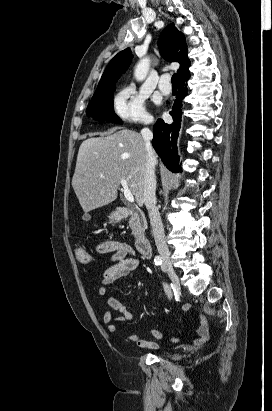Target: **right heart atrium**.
<instances>
[{
    "instance_id": "d8ad5b80",
    "label": "right heart atrium",
    "mask_w": 272,
    "mask_h": 411,
    "mask_svg": "<svg viewBox=\"0 0 272 411\" xmlns=\"http://www.w3.org/2000/svg\"><path fill=\"white\" fill-rule=\"evenodd\" d=\"M114 115L123 121L150 123L152 117L145 107V98L132 85L121 88L112 103Z\"/></svg>"
}]
</instances>
